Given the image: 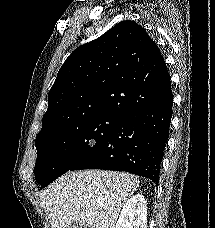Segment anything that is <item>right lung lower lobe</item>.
<instances>
[{"mask_svg":"<svg viewBox=\"0 0 215 228\" xmlns=\"http://www.w3.org/2000/svg\"><path fill=\"white\" fill-rule=\"evenodd\" d=\"M164 82L170 87L164 96L126 114L70 170L125 171L149 178L158 185L173 112L170 76Z\"/></svg>","mask_w":215,"mask_h":228,"instance_id":"obj_1","label":"right lung lower lobe"}]
</instances>
